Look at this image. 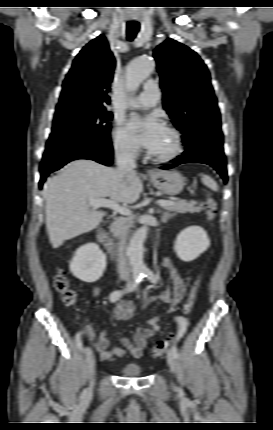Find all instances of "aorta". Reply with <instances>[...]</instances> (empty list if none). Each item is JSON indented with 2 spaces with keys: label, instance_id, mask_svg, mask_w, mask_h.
I'll list each match as a JSON object with an SVG mask.
<instances>
[{
  "label": "aorta",
  "instance_id": "aorta-1",
  "mask_svg": "<svg viewBox=\"0 0 273 430\" xmlns=\"http://www.w3.org/2000/svg\"><path fill=\"white\" fill-rule=\"evenodd\" d=\"M154 69V61L148 57H140L130 62L126 72V88L130 92L137 90L139 85L147 79ZM148 234V227L142 226L132 236L126 249V256L134 273L147 271L143 261V244Z\"/></svg>",
  "mask_w": 273,
  "mask_h": 430
}]
</instances>
